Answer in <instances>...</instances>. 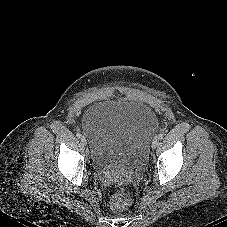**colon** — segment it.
<instances>
[{"instance_id":"obj_1","label":"colon","mask_w":227,"mask_h":227,"mask_svg":"<svg viewBox=\"0 0 227 227\" xmlns=\"http://www.w3.org/2000/svg\"><path fill=\"white\" fill-rule=\"evenodd\" d=\"M111 207L114 211L123 212L131 205L130 192L126 189H120L115 192L110 200Z\"/></svg>"}]
</instances>
